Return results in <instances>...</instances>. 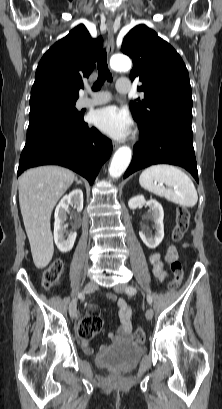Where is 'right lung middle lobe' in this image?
I'll return each instance as SVG.
<instances>
[{
	"label": "right lung middle lobe",
	"mask_w": 222,
	"mask_h": 409,
	"mask_svg": "<svg viewBox=\"0 0 222 409\" xmlns=\"http://www.w3.org/2000/svg\"><path fill=\"white\" fill-rule=\"evenodd\" d=\"M83 114L75 108L74 102H52L30 108L29 127L34 128L50 119H67L77 121Z\"/></svg>",
	"instance_id": "1"
}]
</instances>
